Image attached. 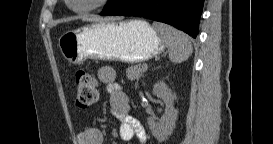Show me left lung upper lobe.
<instances>
[{
  "label": "left lung upper lobe",
  "instance_id": "5c2ea615",
  "mask_svg": "<svg viewBox=\"0 0 273 144\" xmlns=\"http://www.w3.org/2000/svg\"><path fill=\"white\" fill-rule=\"evenodd\" d=\"M113 0H109L108 4L104 7L106 8Z\"/></svg>",
  "mask_w": 273,
  "mask_h": 144
}]
</instances>
